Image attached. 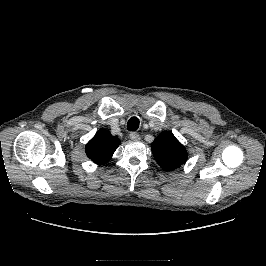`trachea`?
<instances>
[{
  "mask_svg": "<svg viewBox=\"0 0 266 266\" xmlns=\"http://www.w3.org/2000/svg\"><path fill=\"white\" fill-rule=\"evenodd\" d=\"M139 127V119L137 117H131L127 123V129L129 131H136Z\"/></svg>",
  "mask_w": 266,
  "mask_h": 266,
  "instance_id": "3493384b",
  "label": "trachea"
}]
</instances>
